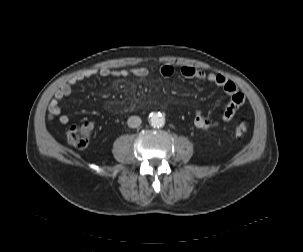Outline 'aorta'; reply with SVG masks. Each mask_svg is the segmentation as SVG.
I'll return each mask as SVG.
<instances>
[{"instance_id": "1", "label": "aorta", "mask_w": 303, "mask_h": 252, "mask_svg": "<svg viewBox=\"0 0 303 252\" xmlns=\"http://www.w3.org/2000/svg\"><path fill=\"white\" fill-rule=\"evenodd\" d=\"M149 123L153 127H163L165 124V118L161 113L153 112L149 115Z\"/></svg>"}]
</instances>
